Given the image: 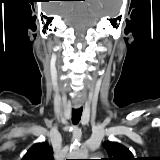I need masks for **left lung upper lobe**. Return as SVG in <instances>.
I'll list each match as a JSON object with an SVG mask.
<instances>
[{
    "label": "left lung upper lobe",
    "instance_id": "5c2ea615",
    "mask_svg": "<svg viewBox=\"0 0 160 160\" xmlns=\"http://www.w3.org/2000/svg\"><path fill=\"white\" fill-rule=\"evenodd\" d=\"M103 147L107 151L109 158L102 160H135L130 150L117 142H105Z\"/></svg>",
    "mask_w": 160,
    "mask_h": 160
}]
</instances>
